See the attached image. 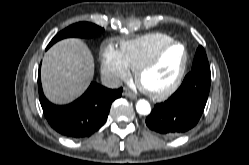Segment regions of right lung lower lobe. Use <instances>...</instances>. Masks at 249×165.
I'll list each match as a JSON object with an SVG mask.
<instances>
[{
  "mask_svg": "<svg viewBox=\"0 0 249 165\" xmlns=\"http://www.w3.org/2000/svg\"><path fill=\"white\" fill-rule=\"evenodd\" d=\"M39 99L44 115L53 129L71 137H89L107 120L112 102L119 98L123 89H108L92 82L87 91L68 105H54L43 94L40 70L38 73Z\"/></svg>",
  "mask_w": 249,
  "mask_h": 165,
  "instance_id": "1",
  "label": "right lung lower lobe"
}]
</instances>
